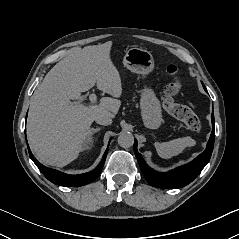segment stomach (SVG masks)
Wrapping results in <instances>:
<instances>
[{"instance_id":"0dacf381","label":"stomach","mask_w":239,"mask_h":239,"mask_svg":"<svg viewBox=\"0 0 239 239\" xmlns=\"http://www.w3.org/2000/svg\"><path fill=\"white\" fill-rule=\"evenodd\" d=\"M123 64L131 72L148 75L154 69V58L149 51L135 47L126 52ZM140 108L145 127L159 128L162 122L161 104L150 87H145L142 90Z\"/></svg>"}]
</instances>
